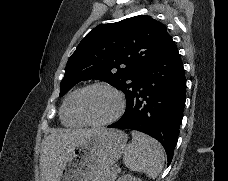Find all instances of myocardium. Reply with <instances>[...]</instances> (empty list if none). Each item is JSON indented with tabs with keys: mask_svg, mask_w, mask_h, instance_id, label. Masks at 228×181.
Here are the masks:
<instances>
[{
	"mask_svg": "<svg viewBox=\"0 0 228 181\" xmlns=\"http://www.w3.org/2000/svg\"><path fill=\"white\" fill-rule=\"evenodd\" d=\"M95 88H101V89H105V90L112 92L116 99V105H115L114 109L112 110V112L109 115H107L106 117H104L98 121H88L87 119L84 118L82 111H81V99H82L83 94L86 91H88L90 89H95ZM125 106H126L125 98H124L123 94L121 93V91L118 90L116 87H114L108 83H103V82L93 83V84L87 86L86 88H84L83 90H81L75 101V110H76L77 116L84 123L91 125V126H103L105 124L112 122L113 120L117 119L119 116L122 115V113L125 110Z\"/></svg>",
	"mask_w": 228,
	"mask_h": 181,
	"instance_id": "f54148a6",
	"label": "myocardium"
}]
</instances>
